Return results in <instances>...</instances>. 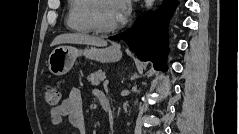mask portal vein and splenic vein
Wrapping results in <instances>:
<instances>
[{"label": "portal vein and splenic vein", "instance_id": "18ae733b", "mask_svg": "<svg viewBox=\"0 0 239 134\" xmlns=\"http://www.w3.org/2000/svg\"><path fill=\"white\" fill-rule=\"evenodd\" d=\"M103 84L104 85H108L109 84V80L106 79Z\"/></svg>", "mask_w": 239, "mask_h": 134}]
</instances>
